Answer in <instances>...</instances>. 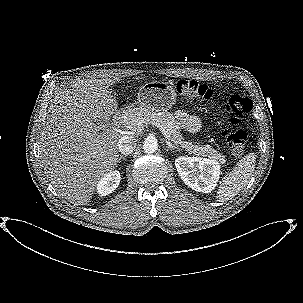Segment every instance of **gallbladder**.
<instances>
[{
    "mask_svg": "<svg viewBox=\"0 0 303 303\" xmlns=\"http://www.w3.org/2000/svg\"><path fill=\"white\" fill-rule=\"evenodd\" d=\"M95 122H96V124L100 125V124L103 123L104 121L101 120V119H97Z\"/></svg>",
    "mask_w": 303,
    "mask_h": 303,
    "instance_id": "1",
    "label": "gallbladder"
}]
</instances>
